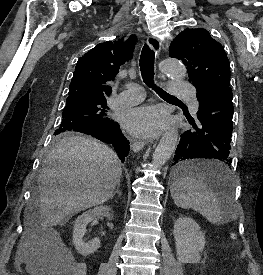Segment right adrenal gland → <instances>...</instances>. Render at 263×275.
<instances>
[{"instance_id": "2a0ac1e0", "label": "right adrenal gland", "mask_w": 263, "mask_h": 275, "mask_svg": "<svg viewBox=\"0 0 263 275\" xmlns=\"http://www.w3.org/2000/svg\"><path fill=\"white\" fill-rule=\"evenodd\" d=\"M120 182L118 183V185H117V189L114 191V193L112 194V196H111V199H113V197L116 195V194H118L119 196L121 195V192H120Z\"/></svg>"}]
</instances>
